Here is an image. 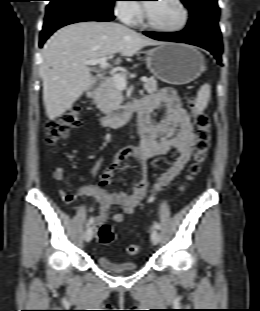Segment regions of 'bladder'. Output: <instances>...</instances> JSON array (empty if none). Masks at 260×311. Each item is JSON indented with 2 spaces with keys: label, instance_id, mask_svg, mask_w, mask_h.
I'll list each match as a JSON object with an SVG mask.
<instances>
[{
  "label": "bladder",
  "instance_id": "obj_1",
  "mask_svg": "<svg viewBox=\"0 0 260 311\" xmlns=\"http://www.w3.org/2000/svg\"><path fill=\"white\" fill-rule=\"evenodd\" d=\"M95 261L104 269L114 272L132 271L138 268V263L135 261L114 262L102 251L95 254Z\"/></svg>",
  "mask_w": 260,
  "mask_h": 311
}]
</instances>
